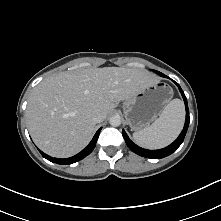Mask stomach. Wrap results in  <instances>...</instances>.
Wrapping results in <instances>:
<instances>
[{"label":"stomach","instance_id":"0dacf381","mask_svg":"<svg viewBox=\"0 0 221 221\" xmlns=\"http://www.w3.org/2000/svg\"><path fill=\"white\" fill-rule=\"evenodd\" d=\"M173 97V89L164 82L146 85L123 103L127 123L134 131L154 121Z\"/></svg>","mask_w":221,"mask_h":221}]
</instances>
